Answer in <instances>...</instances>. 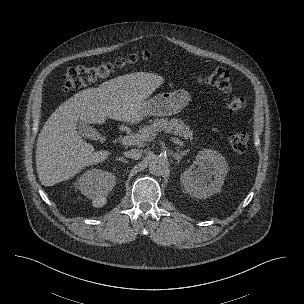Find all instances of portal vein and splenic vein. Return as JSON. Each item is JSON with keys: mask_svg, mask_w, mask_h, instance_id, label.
Instances as JSON below:
<instances>
[{"mask_svg": "<svg viewBox=\"0 0 304 304\" xmlns=\"http://www.w3.org/2000/svg\"><path fill=\"white\" fill-rule=\"evenodd\" d=\"M141 139V137H138L136 135H127V136H124L120 139V142L123 144V145H128V146H131V145H135V144H138L139 143V140ZM171 140L179 145V146H183V141H181L180 139L176 138V137H171Z\"/></svg>", "mask_w": 304, "mask_h": 304, "instance_id": "portal-vein-and-splenic-vein-1", "label": "portal vein and splenic vein"}]
</instances>
